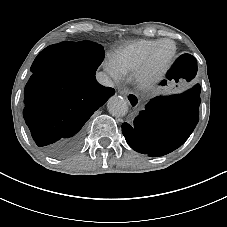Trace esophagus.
<instances>
[{"label": "esophagus", "instance_id": "1", "mask_svg": "<svg viewBox=\"0 0 227 227\" xmlns=\"http://www.w3.org/2000/svg\"><path fill=\"white\" fill-rule=\"evenodd\" d=\"M118 88V92L120 95H122L128 102V104L132 107V108H137L140 104V99L139 97L134 94L133 92H130L126 89V87L123 84H118L117 85Z\"/></svg>", "mask_w": 227, "mask_h": 227}]
</instances>
